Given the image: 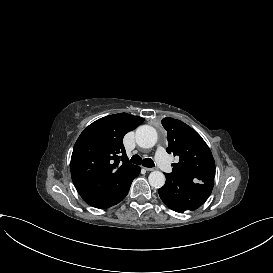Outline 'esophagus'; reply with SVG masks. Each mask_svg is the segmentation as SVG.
I'll return each instance as SVG.
<instances>
[{
  "label": "esophagus",
  "mask_w": 273,
  "mask_h": 273,
  "mask_svg": "<svg viewBox=\"0 0 273 273\" xmlns=\"http://www.w3.org/2000/svg\"><path fill=\"white\" fill-rule=\"evenodd\" d=\"M156 168H145L146 171H154Z\"/></svg>",
  "instance_id": "34e87169"
}]
</instances>
